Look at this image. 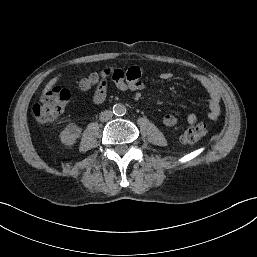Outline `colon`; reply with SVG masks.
I'll list each match as a JSON object with an SVG mask.
<instances>
[{
  "label": "colon",
  "mask_w": 257,
  "mask_h": 257,
  "mask_svg": "<svg viewBox=\"0 0 257 257\" xmlns=\"http://www.w3.org/2000/svg\"><path fill=\"white\" fill-rule=\"evenodd\" d=\"M92 86L102 88L106 86V77L103 74H93L81 82V88L90 89ZM70 100V93L67 89L55 86L45 92L41 100L36 103L32 112L34 117L40 122H50L55 120L64 110ZM208 132L205 122H200L188 127L181 136L184 144H193L202 139Z\"/></svg>",
  "instance_id": "colon-1"
}]
</instances>
